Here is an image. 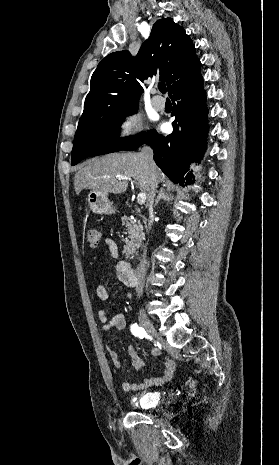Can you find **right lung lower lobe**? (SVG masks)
Listing matches in <instances>:
<instances>
[{"mask_svg":"<svg viewBox=\"0 0 279 465\" xmlns=\"http://www.w3.org/2000/svg\"><path fill=\"white\" fill-rule=\"evenodd\" d=\"M202 83V76L198 75L171 94L176 101L172 134L165 137L155 132L145 142L153 148L158 167L171 181L182 186L192 183L190 165L199 163L206 150L208 110ZM137 148L132 146L128 150Z\"/></svg>","mask_w":279,"mask_h":465,"instance_id":"obj_1","label":"right lung lower lobe"}]
</instances>
